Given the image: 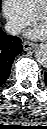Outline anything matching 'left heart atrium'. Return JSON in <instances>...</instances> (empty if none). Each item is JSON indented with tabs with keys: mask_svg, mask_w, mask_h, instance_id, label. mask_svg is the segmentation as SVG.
<instances>
[{
	"mask_svg": "<svg viewBox=\"0 0 47 129\" xmlns=\"http://www.w3.org/2000/svg\"><path fill=\"white\" fill-rule=\"evenodd\" d=\"M27 35L35 39L43 38L46 35V28L42 24H37L27 32Z\"/></svg>",
	"mask_w": 47,
	"mask_h": 129,
	"instance_id": "39dd6f15",
	"label": "left heart atrium"
}]
</instances>
